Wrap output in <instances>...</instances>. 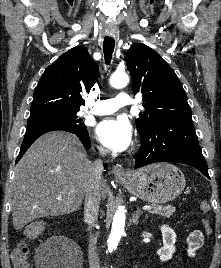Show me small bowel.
I'll return each instance as SVG.
<instances>
[{
  "instance_id": "small-bowel-1",
  "label": "small bowel",
  "mask_w": 221,
  "mask_h": 268,
  "mask_svg": "<svg viewBox=\"0 0 221 268\" xmlns=\"http://www.w3.org/2000/svg\"><path fill=\"white\" fill-rule=\"evenodd\" d=\"M204 242L203 233L199 229L193 230L188 237L187 253L190 257L195 256L196 251L200 249Z\"/></svg>"
}]
</instances>
